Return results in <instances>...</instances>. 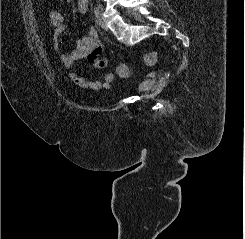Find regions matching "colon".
<instances>
[{"label": "colon", "mask_w": 245, "mask_h": 239, "mask_svg": "<svg viewBox=\"0 0 245 239\" xmlns=\"http://www.w3.org/2000/svg\"><path fill=\"white\" fill-rule=\"evenodd\" d=\"M143 60L147 65H153L156 63V52H148L143 56ZM117 72L121 77H126L130 74V66L126 63L120 64L117 67Z\"/></svg>", "instance_id": "colon-1"}]
</instances>
